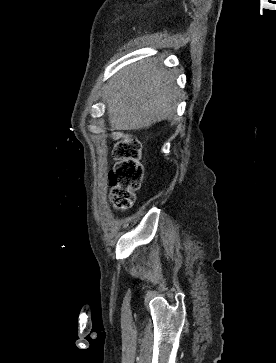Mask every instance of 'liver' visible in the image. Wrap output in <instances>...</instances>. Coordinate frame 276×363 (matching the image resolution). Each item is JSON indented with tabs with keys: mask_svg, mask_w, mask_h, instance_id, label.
I'll return each mask as SVG.
<instances>
[{
	"mask_svg": "<svg viewBox=\"0 0 276 363\" xmlns=\"http://www.w3.org/2000/svg\"><path fill=\"white\" fill-rule=\"evenodd\" d=\"M180 94L172 72L147 59L116 74L107 91L115 130H138L173 117Z\"/></svg>",
	"mask_w": 276,
	"mask_h": 363,
	"instance_id": "obj_1",
	"label": "liver"
}]
</instances>
